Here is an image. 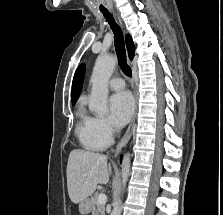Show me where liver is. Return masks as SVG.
Segmentation results:
<instances>
[{"label":"liver","mask_w":223,"mask_h":215,"mask_svg":"<svg viewBox=\"0 0 223 215\" xmlns=\"http://www.w3.org/2000/svg\"><path fill=\"white\" fill-rule=\"evenodd\" d=\"M68 193L73 203L83 201L94 193L97 183H108L111 165L106 155L73 149L67 163Z\"/></svg>","instance_id":"obj_1"}]
</instances>
